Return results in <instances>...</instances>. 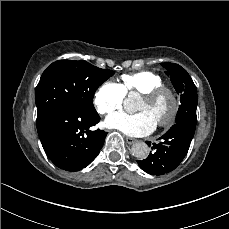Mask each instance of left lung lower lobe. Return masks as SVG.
Returning a JSON list of instances; mask_svg holds the SVG:
<instances>
[{"label": "left lung lower lobe", "instance_id": "left-lung-lower-lobe-1", "mask_svg": "<svg viewBox=\"0 0 229 229\" xmlns=\"http://www.w3.org/2000/svg\"><path fill=\"white\" fill-rule=\"evenodd\" d=\"M193 119V117H189ZM190 123L183 125H173L163 136L159 139L162 141L158 144L153 143L154 153L138 161L139 166L145 172L151 175H163L173 171L186 156L194 132L189 127ZM148 145L151 142H147Z\"/></svg>", "mask_w": 229, "mask_h": 229}]
</instances>
